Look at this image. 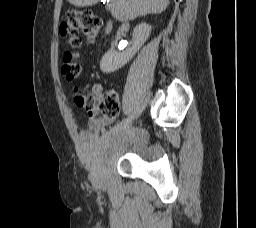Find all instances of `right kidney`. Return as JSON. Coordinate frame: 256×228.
<instances>
[{"mask_svg":"<svg viewBox=\"0 0 256 228\" xmlns=\"http://www.w3.org/2000/svg\"><path fill=\"white\" fill-rule=\"evenodd\" d=\"M150 32L151 26L146 23H142L136 26L133 30L132 47L119 53L116 52L113 48L107 51V53L104 54L100 61L101 71L104 73L115 72L127 64L148 39Z\"/></svg>","mask_w":256,"mask_h":228,"instance_id":"1","label":"right kidney"}]
</instances>
